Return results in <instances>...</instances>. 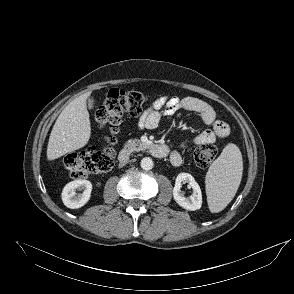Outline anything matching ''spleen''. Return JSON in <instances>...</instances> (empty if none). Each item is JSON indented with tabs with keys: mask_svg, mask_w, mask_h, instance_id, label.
I'll return each mask as SVG.
<instances>
[{
	"mask_svg": "<svg viewBox=\"0 0 294 294\" xmlns=\"http://www.w3.org/2000/svg\"><path fill=\"white\" fill-rule=\"evenodd\" d=\"M242 171V154L235 144L230 143L206 174V194L211 212L218 213L231 202L240 185Z\"/></svg>",
	"mask_w": 294,
	"mask_h": 294,
	"instance_id": "spleen-1",
	"label": "spleen"
}]
</instances>
